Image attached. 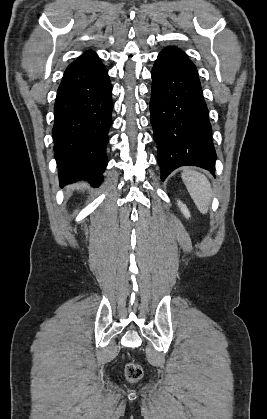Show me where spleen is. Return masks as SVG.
<instances>
[{"mask_svg":"<svg viewBox=\"0 0 267 419\" xmlns=\"http://www.w3.org/2000/svg\"><path fill=\"white\" fill-rule=\"evenodd\" d=\"M181 177L198 210L206 214L212 198L209 180L202 173L189 167L184 168Z\"/></svg>","mask_w":267,"mask_h":419,"instance_id":"1","label":"spleen"}]
</instances>
